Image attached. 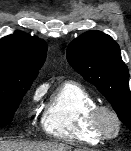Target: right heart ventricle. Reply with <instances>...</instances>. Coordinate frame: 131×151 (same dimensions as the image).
<instances>
[{"mask_svg": "<svg viewBox=\"0 0 131 151\" xmlns=\"http://www.w3.org/2000/svg\"><path fill=\"white\" fill-rule=\"evenodd\" d=\"M90 92L74 81L62 83L49 97L42 117L44 131L68 142L95 145L103 138L89 125V113L96 106Z\"/></svg>", "mask_w": 131, "mask_h": 151, "instance_id": "obj_1", "label": "right heart ventricle"}]
</instances>
